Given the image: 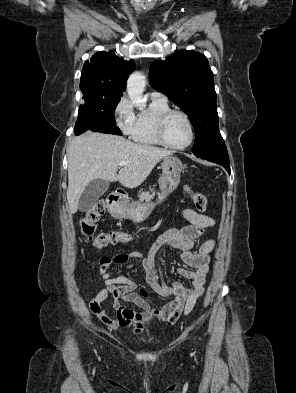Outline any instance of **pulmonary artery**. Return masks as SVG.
<instances>
[{
    "label": "pulmonary artery",
    "mask_w": 296,
    "mask_h": 393,
    "mask_svg": "<svg viewBox=\"0 0 296 393\" xmlns=\"http://www.w3.org/2000/svg\"><path fill=\"white\" fill-rule=\"evenodd\" d=\"M150 95H151V97L154 98V99H157V100H160V101L167 102L166 96L163 95V94L160 93V92L152 91V92L150 93Z\"/></svg>",
    "instance_id": "1"
}]
</instances>
